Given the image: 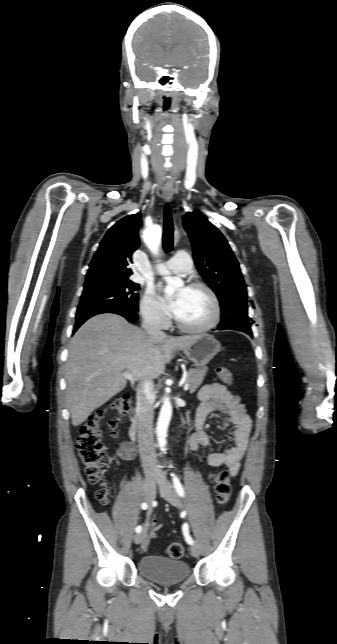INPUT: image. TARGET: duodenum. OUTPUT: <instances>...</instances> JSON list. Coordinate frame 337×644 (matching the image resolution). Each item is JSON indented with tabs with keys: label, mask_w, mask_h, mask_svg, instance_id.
Segmentation results:
<instances>
[{
	"label": "duodenum",
	"mask_w": 337,
	"mask_h": 644,
	"mask_svg": "<svg viewBox=\"0 0 337 644\" xmlns=\"http://www.w3.org/2000/svg\"><path fill=\"white\" fill-rule=\"evenodd\" d=\"M139 415L137 413L134 414L132 424L129 429V436L130 439L135 442L137 439V434H138V428H139Z\"/></svg>",
	"instance_id": "duodenum-1"
}]
</instances>
